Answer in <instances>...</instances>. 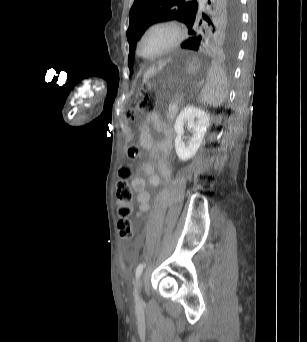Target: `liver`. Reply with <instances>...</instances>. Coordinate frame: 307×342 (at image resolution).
<instances>
[{
	"label": "liver",
	"mask_w": 307,
	"mask_h": 342,
	"mask_svg": "<svg viewBox=\"0 0 307 342\" xmlns=\"http://www.w3.org/2000/svg\"><path fill=\"white\" fill-rule=\"evenodd\" d=\"M167 62H158L157 64V70H161V68H164V66H166ZM156 68L154 66V68H150V70H148L147 74H152V72H155Z\"/></svg>",
	"instance_id": "1"
}]
</instances>
